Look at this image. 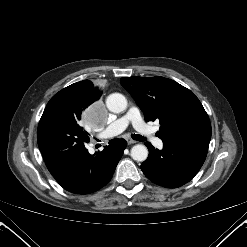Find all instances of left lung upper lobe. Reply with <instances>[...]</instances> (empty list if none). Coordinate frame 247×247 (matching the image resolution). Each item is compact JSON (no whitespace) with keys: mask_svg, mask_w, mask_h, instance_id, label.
<instances>
[{"mask_svg":"<svg viewBox=\"0 0 247 247\" xmlns=\"http://www.w3.org/2000/svg\"><path fill=\"white\" fill-rule=\"evenodd\" d=\"M122 86L131 94L146 121L159 120L163 142L182 137H211L209 117L199 99L186 87L164 77H124Z\"/></svg>","mask_w":247,"mask_h":247,"instance_id":"1","label":"left lung upper lobe"}]
</instances>
